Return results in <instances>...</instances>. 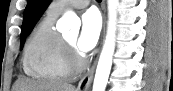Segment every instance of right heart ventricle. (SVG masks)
<instances>
[{"instance_id":"right-heart-ventricle-1","label":"right heart ventricle","mask_w":173,"mask_h":91,"mask_svg":"<svg viewBox=\"0 0 173 91\" xmlns=\"http://www.w3.org/2000/svg\"><path fill=\"white\" fill-rule=\"evenodd\" d=\"M57 14L50 11L30 35L23 54L24 72L37 80L58 82L68 79L64 40L55 30Z\"/></svg>"}]
</instances>
